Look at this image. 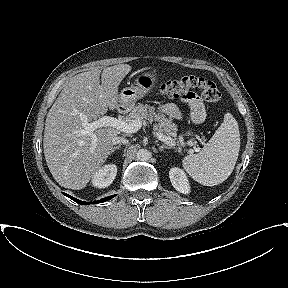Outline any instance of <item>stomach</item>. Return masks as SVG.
<instances>
[{
    "label": "stomach",
    "instance_id": "obj_1",
    "mask_svg": "<svg viewBox=\"0 0 288 288\" xmlns=\"http://www.w3.org/2000/svg\"><path fill=\"white\" fill-rule=\"evenodd\" d=\"M156 82V75L152 72H144L138 75L135 79V85L124 88L120 94V106L119 108L124 111H130L133 109L137 100L141 99L144 95L149 93L153 89ZM190 131L187 135H191Z\"/></svg>",
    "mask_w": 288,
    "mask_h": 288
}]
</instances>
